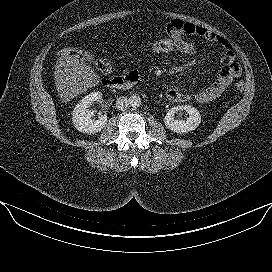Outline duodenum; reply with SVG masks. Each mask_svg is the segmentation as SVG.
Returning <instances> with one entry per match:
<instances>
[{
    "label": "duodenum",
    "instance_id": "obj_1",
    "mask_svg": "<svg viewBox=\"0 0 272 272\" xmlns=\"http://www.w3.org/2000/svg\"><path fill=\"white\" fill-rule=\"evenodd\" d=\"M137 80L138 75L125 74L122 76L106 79L103 81V84L111 89H125L135 84Z\"/></svg>",
    "mask_w": 272,
    "mask_h": 272
}]
</instances>
